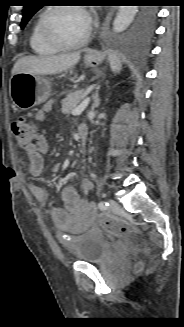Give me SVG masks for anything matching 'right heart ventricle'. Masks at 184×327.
<instances>
[{
  "mask_svg": "<svg viewBox=\"0 0 184 327\" xmlns=\"http://www.w3.org/2000/svg\"><path fill=\"white\" fill-rule=\"evenodd\" d=\"M45 12L39 14L35 19L29 37V43L31 49L38 55L48 56L54 55L60 51V49L52 46L48 43L41 32V20Z\"/></svg>",
  "mask_w": 184,
  "mask_h": 327,
  "instance_id": "1",
  "label": "right heart ventricle"
}]
</instances>
